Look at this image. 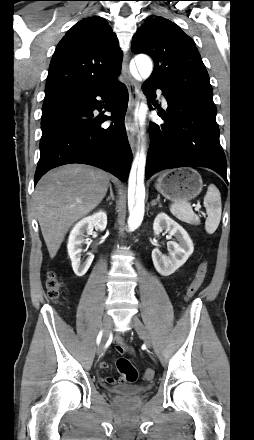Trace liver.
Instances as JSON below:
<instances>
[{
  "mask_svg": "<svg viewBox=\"0 0 254 440\" xmlns=\"http://www.w3.org/2000/svg\"><path fill=\"white\" fill-rule=\"evenodd\" d=\"M109 184L108 173L81 164L58 167L40 179L33 199L51 258L57 254L70 227L103 200Z\"/></svg>",
  "mask_w": 254,
  "mask_h": 440,
  "instance_id": "1",
  "label": "liver"
}]
</instances>
